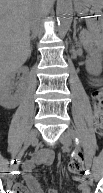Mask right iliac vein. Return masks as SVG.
<instances>
[{
    "instance_id": "obj_1",
    "label": "right iliac vein",
    "mask_w": 103,
    "mask_h": 193,
    "mask_svg": "<svg viewBox=\"0 0 103 193\" xmlns=\"http://www.w3.org/2000/svg\"><path fill=\"white\" fill-rule=\"evenodd\" d=\"M37 136H38L37 130H32V131L29 133V135H28V137H27V139H26L25 147H27V146L35 143V141H36V139H37ZM19 163H20V159H18V161L15 162V164H13V165L11 166V172H10L11 175H13V174L16 172V170L18 169Z\"/></svg>"
}]
</instances>
